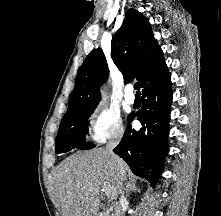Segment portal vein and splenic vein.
I'll return each instance as SVG.
<instances>
[{
	"label": "portal vein and splenic vein",
	"mask_w": 221,
	"mask_h": 216,
	"mask_svg": "<svg viewBox=\"0 0 221 216\" xmlns=\"http://www.w3.org/2000/svg\"><path fill=\"white\" fill-rule=\"evenodd\" d=\"M102 191L106 194V196H107L109 199H111V200L114 199V198H113V195L111 194V191H110V190L103 189Z\"/></svg>",
	"instance_id": "obj_1"
}]
</instances>
